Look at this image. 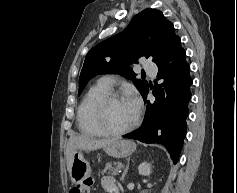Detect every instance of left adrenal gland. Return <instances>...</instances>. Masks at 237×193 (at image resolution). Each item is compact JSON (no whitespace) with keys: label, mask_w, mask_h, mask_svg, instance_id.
I'll return each mask as SVG.
<instances>
[{"label":"left adrenal gland","mask_w":237,"mask_h":193,"mask_svg":"<svg viewBox=\"0 0 237 193\" xmlns=\"http://www.w3.org/2000/svg\"><path fill=\"white\" fill-rule=\"evenodd\" d=\"M128 169H129V161H128V164H127V167L124 171V173L122 174V177H121V180L123 181L124 180V177L126 176L127 172H128Z\"/></svg>","instance_id":"obj_1"}]
</instances>
